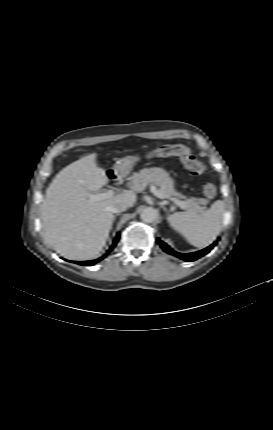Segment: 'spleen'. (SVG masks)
Listing matches in <instances>:
<instances>
[{"label": "spleen", "mask_w": 273, "mask_h": 430, "mask_svg": "<svg viewBox=\"0 0 273 430\" xmlns=\"http://www.w3.org/2000/svg\"><path fill=\"white\" fill-rule=\"evenodd\" d=\"M223 212L224 202L217 200L202 214L194 211L176 212L168 217V222L191 245L204 248L219 235Z\"/></svg>", "instance_id": "obj_1"}]
</instances>
